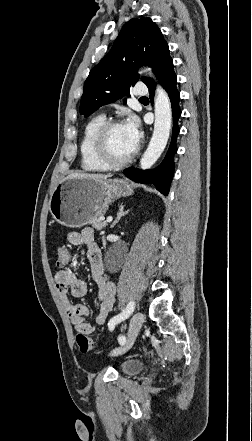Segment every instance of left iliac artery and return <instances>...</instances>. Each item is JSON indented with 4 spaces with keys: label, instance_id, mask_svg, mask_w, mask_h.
I'll return each mask as SVG.
<instances>
[{
    "label": "left iliac artery",
    "instance_id": "44dca946",
    "mask_svg": "<svg viewBox=\"0 0 252 441\" xmlns=\"http://www.w3.org/2000/svg\"><path fill=\"white\" fill-rule=\"evenodd\" d=\"M135 303L134 301H130L127 305V307L118 315L114 316L110 322H109V329H114L115 325L120 323L121 321L125 320L134 310ZM118 341L120 345H124L126 343L125 333L123 331H120L118 333Z\"/></svg>",
    "mask_w": 252,
    "mask_h": 441
}]
</instances>
